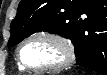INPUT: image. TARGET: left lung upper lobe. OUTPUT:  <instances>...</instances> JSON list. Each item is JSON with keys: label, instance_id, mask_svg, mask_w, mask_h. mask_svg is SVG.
<instances>
[{"label": "left lung upper lobe", "instance_id": "5c2ea615", "mask_svg": "<svg viewBox=\"0 0 107 75\" xmlns=\"http://www.w3.org/2000/svg\"><path fill=\"white\" fill-rule=\"evenodd\" d=\"M94 11L95 5L88 4L87 0H21L11 22L8 46L18 44L35 32L48 31L71 39L79 58L84 53L83 39L107 36V24L95 18L91 22ZM85 23L89 26L88 37L83 32Z\"/></svg>", "mask_w": 107, "mask_h": 75}]
</instances>
